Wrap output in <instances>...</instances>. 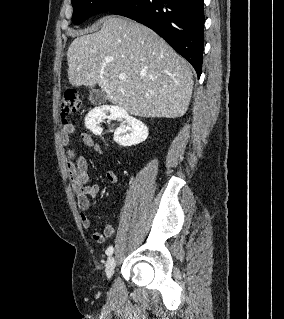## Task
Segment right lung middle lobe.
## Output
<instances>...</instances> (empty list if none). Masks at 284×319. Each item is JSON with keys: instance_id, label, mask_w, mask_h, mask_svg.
<instances>
[{"instance_id": "right-lung-middle-lobe-1", "label": "right lung middle lobe", "mask_w": 284, "mask_h": 319, "mask_svg": "<svg viewBox=\"0 0 284 319\" xmlns=\"http://www.w3.org/2000/svg\"><path fill=\"white\" fill-rule=\"evenodd\" d=\"M129 1L130 0H71L74 9L72 21L75 25H78L97 13L113 10Z\"/></svg>"}]
</instances>
